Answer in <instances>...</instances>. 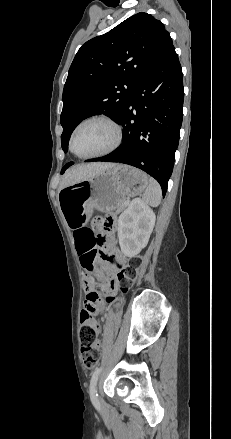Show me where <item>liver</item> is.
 <instances>
[{"mask_svg": "<svg viewBox=\"0 0 231 439\" xmlns=\"http://www.w3.org/2000/svg\"><path fill=\"white\" fill-rule=\"evenodd\" d=\"M115 165V163H89L75 165L65 172L59 189L61 190L72 183L86 180L102 171L114 167Z\"/></svg>", "mask_w": 231, "mask_h": 439, "instance_id": "6515ba94", "label": "liver"}]
</instances>
